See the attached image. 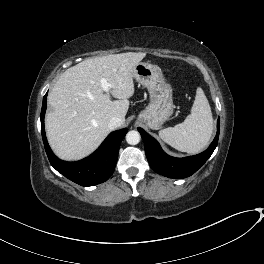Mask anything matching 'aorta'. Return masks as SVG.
<instances>
[{"label":"aorta","instance_id":"1","mask_svg":"<svg viewBox=\"0 0 264 264\" xmlns=\"http://www.w3.org/2000/svg\"><path fill=\"white\" fill-rule=\"evenodd\" d=\"M141 136L138 131L132 130L126 134V141L130 145H136L140 142Z\"/></svg>","mask_w":264,"mask_h":264}]
</instances>
